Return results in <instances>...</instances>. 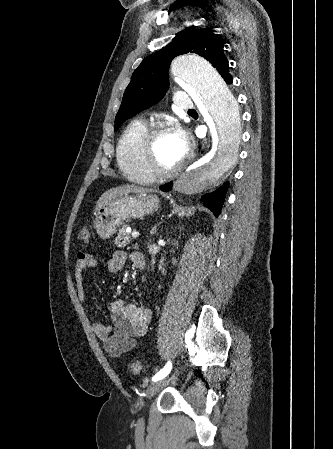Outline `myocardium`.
<instances>
[{"label": "myocardium", "instance_id": "myocardium-1", "mask_svg": "<svg viewBox=\"0 0 333 449\" xmlns=\"http://www.w3.org/2000/svg\"><path fill=\"white\" fill-rule=\"evenodd\" d=\"M164 132H172V128L163 122H156L148 126L141 141V160L144 170L153 180H164L175 176L186 163L183 158L175 167L162 169L156 163L155 143L159 135Z\"/></svg>", "mask_w": 333, "mask_h": 449}]
</instances>
